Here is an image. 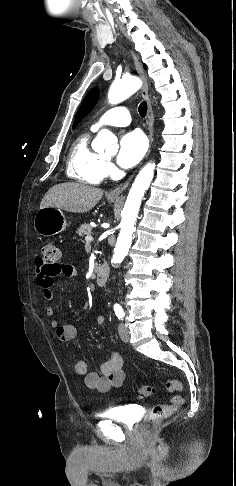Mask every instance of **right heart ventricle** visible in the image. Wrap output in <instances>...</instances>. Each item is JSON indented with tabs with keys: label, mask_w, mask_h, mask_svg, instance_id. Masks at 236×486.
Wrapping results in <instances>:
<instances>
[{
	"label": "right heart ventricle",
	"mask_w": 236,
	"mask_h": 486,
	"mask_svg": "<svg viewBox=\"0 0 236 486\" xmlns=\"http://www.w3.org/2000/svg\"><path fill=\"white\" fill-rule=\"evenodd\" d=\"M90 135L81 134L72 144L67 158V175L81 183L97 185L105 177L104 159L89 145Z\"/></svg>",
	"instance_id": "right-heart-ventricle-1"
}]
</instances>
